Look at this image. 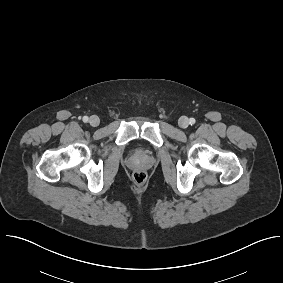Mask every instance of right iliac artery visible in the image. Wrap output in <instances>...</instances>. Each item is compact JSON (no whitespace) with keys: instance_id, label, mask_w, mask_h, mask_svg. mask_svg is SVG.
I'll use <instances>...</instances> for the list:
<instances>
[{"instance_id":"82829eb1","label":"right iliac artery","mask_w":283,"mask_h":283,"mask_svg":"<svg viewBox=\"0 0 283 283\" xmlns=\"http://www.w3.org/2000/svg\"><path fill=\"white\" fill-rule=\"evenodd\" d=\"M88 121V117L87 116H84L83 117V122H87Z\"/></svg>"}]
</instances>
